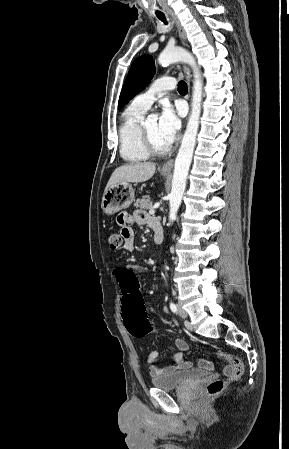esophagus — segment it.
<instances>
[{
	"label": "esophagus",
	"instance_id": "obj_1",
	"mask_svg": "<svg viewBox=\"0 0 289 449\" xmlns=\"http://www.w3.org/2000/svg\"><path fill=\"white\" fill-rule=\"evenodd\" d=\"M170 17L172 18L173 22L175 23L178 32H179V36L180 38L185 41L186 40V33L184 28L182 27L181 23L179 22L178 18L176 17V15L174 13H169ZM183 72L186 76L187 79V83H188V92L190 93V80H191V74H190V70L189 67L184 65L183 66ZM187 98H189V94L187 96ZM173 164H174V160L173 159H169L168 161H166L163 166H162V171L163 172H170L173 168Z\"/></svg>",
	"mask_w": 289,
	"mask_h": 449
}]
</instances>
